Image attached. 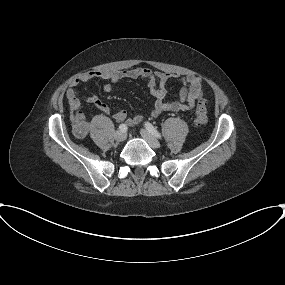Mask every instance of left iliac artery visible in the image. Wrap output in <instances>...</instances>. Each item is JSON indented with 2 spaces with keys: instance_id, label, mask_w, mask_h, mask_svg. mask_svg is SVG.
<instances>
[{
  "instance_id": "44dca946",
  "label": "left iliac artery",
  "mask_w": 285,
  "mask_h": 285,
  "mask_svg": "<svg viewBox=\"0 0 285 285\" xmlns=\"http://www.w3.org/2000/svg\"><path fill=\"white\" fill-rule=\"evenodd\" d=\"M145 127L152 135L161 139L162 137L161 134L156 130V128L152 124H150L149 122H146Z\"/></svg>"
}]
</instances>
